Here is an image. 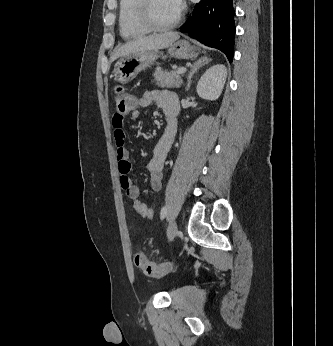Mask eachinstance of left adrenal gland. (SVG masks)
Masks as SVG:
<instances>
[{
	"instance_id": "1",
	"label": "left adrenal gland",
	"mask_w": 333,
	"mask_h": 346,
	"mask_svg": "<svg viewBox=\"0 0 333 346\" xmlns=\"http://www.w3.org/2000/svg\"><path fill=\"white\" fill-rule=\"evenodd\" d=\"M212 59L208 58V57H201L199 58L197 61H195L193 63V65L190 68L189 74H188V83H187V87H186V91H188L190 89V85H191V78L193 76V74L202 66L208 64L209 62H211Z\"/></svg>"
}]
</instances>
